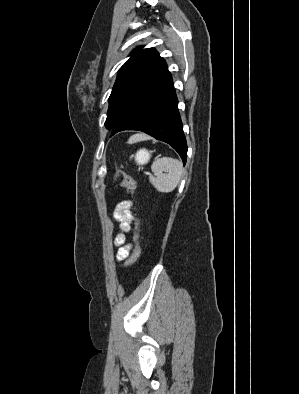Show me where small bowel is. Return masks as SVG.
Listing matches in <instances>:
<instances>
[{
	"mask_svg": "<svg viewBox=\"0 0 299 394\" xmlns=\"http://www.w3.org/2000/svg\"><path fill=\"white\" fill-rule=\"evenodd\" d=\"M132 202L125 200L117 204L114 210V218L119 223L120 232L117 234L114 240L115 246L118 247L116 259L117 261H123L129 256V252L132 248L131 244L125 245L126 236L132 230V223L134 221V215L132 213Z\"/></svg>",
	"mask_w": 299,
	"mask_h": 394,
	"instance_id": "small-bowel-1",
	"label": "small bowel"
}]
</instances>
